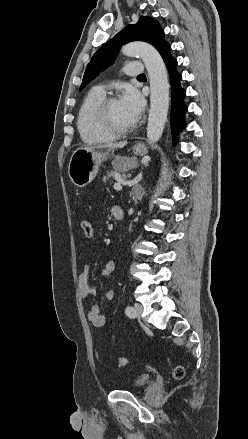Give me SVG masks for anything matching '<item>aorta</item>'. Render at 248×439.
I'll list each match as a JSON object with an SVG mask.
<instances>
[{"label": "aorta", "instance_id": "obj_1", "mask_svg": "<svg viewBox=\"0 0 248 439\" xmlns=\"http://www.w3.org/2000/svg\"><path fill=\"white\" fill-rule=\"evenodd\" d=\"M122 53L139 56L148 71L151 93L147 138L155 143L162 136L169 109V82L164 61L153 46L144 42L129 43L122 48Z\"/></svg>", "mask_w": 248, "mask_h": 439}]
</instances>
